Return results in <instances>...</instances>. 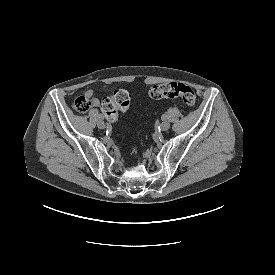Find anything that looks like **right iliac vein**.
Segmentation results:
<instances>
[{
    "label": "right iliac vein",
    "mask_w": 275,
    "mask_h": 275,
    "mask_svg": "<svg viewBox=\"0 0 275 275\" xmlns=\"http://www.w3.org/2000/svg\"><path fill=\"white\" fill-rule=\"evenodd\" d=\"M97 126H98L100 129H104V128H105V123H104L103 119H99V120H98Z\"/></svg>",
    "instance_id": "obj_1"
}]
</instances>
